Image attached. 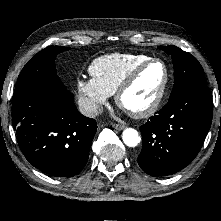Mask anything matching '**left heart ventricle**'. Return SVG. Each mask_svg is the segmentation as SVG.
I'll return each mask as SVG.
<instances>
[{
    "mask_svg": "<svg viewBox=\"0 0 221 221\" xmlns=\"http://www.w3.org/2000/svg\"><path fill=\"white\" fill-rule=\"evenodd\" d=\"M164 79V68L160 63L149 65L124 94V108L137 111L148 106L157 95Z\"/></svg>",
    "mask_w": 221,
    "mask_h": 221,
    "instance_id": "1",
    "label": "left heart ventricle"
}]
</instances>
